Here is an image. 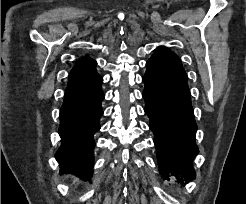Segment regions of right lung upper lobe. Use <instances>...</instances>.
Here are the masks:
<instances>
[{"label": "right lung upper lobe", "mask_w": 246, "mask_h": 204, "mask_svg": "<svg viewBox=\"0 0 246 204\" xmlns=\"http://www.w3.org/2000/svg\"><path fill=\"white\" fill-rule=\"evenodd\" d=\"M83 59H90V58L86 56V57H84Z\"/></svg>", "instance_id": "right-lung-upper-lobe-1"}]
</instances>
